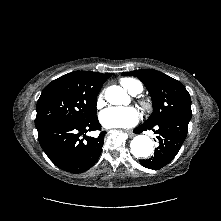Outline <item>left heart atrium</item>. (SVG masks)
I'll return each mask as SVG.
<instances>
[{"label":"left heart atrium","instance_id":"39dd6f15","mask_svg":"<svg viewBox=\"0 0 221 221\" xmlns=\"http://www.w3.org/2000/svg\"><path fill=\"white\" fill-rule=\"evenodd\" d=\"M140 114L134 107H109L102 111L99 116L103 127L128 128L138 123Z\"/></svg>","mask_w":221,"mask_h":221}]
</instances>
